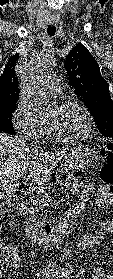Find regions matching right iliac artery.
Segmentation results:
<instances>
[{
  "instance_id": "1",
  "label": "right iliac artery",
  "mask_w": 113,
  "mask_h": 279,
  "mask_svg": "<svg viewBox=\"0 0 113 279\" xmlns=\"http://www.w3.org/2000/svg\"><path fill=\"white\" fill-rule=\"evenodd\" d=\"M67 272L65 268H60L58 270H38L36 275L38 279H50L51 276L64 277Z\"/></svg>"
}]
</instances>
